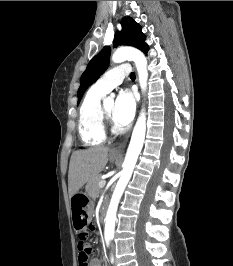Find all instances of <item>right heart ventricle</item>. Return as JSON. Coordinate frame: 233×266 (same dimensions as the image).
Returning a JSON list of instances; mask_svg holds the SVG:
<instances>
[{"instance_id": "right-heart-ventricle-1", "label": "right heart ventricle", "mask_w": 233, "mask_h": 266, "mask_svg": "<svg viewBox=\"0 0 233 266\" xmlns=\"http://www.w3.org/2000/svg\"><path fill=\"white\" fill-rule=\"evenodd\" d=\"M106 93L92 86L85 94L79 108L78 131L82 143L96 146L105 142L106 131L101 119V100Z\"/></svg>"}]
</instances>
